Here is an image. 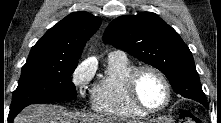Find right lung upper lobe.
Wrapping results in <instances>:
<instances>
[{"label":"right lung upper lobe","mask_w":221,"mask_h":123,"mask_svg":"<svg viewBox=\"0 0 221 123\" xmlns=\"http://www.w3.org/2000/svg\"><path fill=\"white\" fill-rule=\"evenodd\" d=\"M101 21L85 11L73 12L47 31L32 47L29 57L79 59Z\"/></svg>","instance_id":"right-lung-upper-lobe-1"}]
</instances>
